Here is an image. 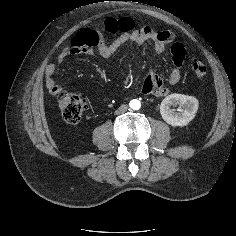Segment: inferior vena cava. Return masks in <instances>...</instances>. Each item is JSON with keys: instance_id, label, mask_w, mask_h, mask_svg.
Segmentation results:
<instances>
[{"instance_id": "602c4592", "label": "inferior vena cava", "mask_w": 236, "mask_h": 236, "mask_svg": "<svg viewBox=\"0 0 236 236\" xmlns=\"http://www.w3.org/2000/svg\"><path fill=\"white\" fill-rule=\"evenodd\" d=\"M128 109V106L126 104H122L117 110H116V114H122L124 112H126Z\"/></svg>"}]
</instances>
